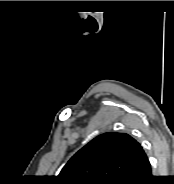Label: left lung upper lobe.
Wrapping results in <instances>:
<instances>
[{"label": "left lung upper lobe", "instance_id": "5c2ea615", "mask_svg": "<svg viewBox=\"0 0 174 184\" xmlns=\"http://www.w3.org/2000/svg\"><path fill=\"white\" fill-rule=\"evenodd\" d=\"M141 146L126 133L101 134L63 167L65 184H126Z\"/></svg>", "mask_w": 174, "mask_h": 184}]
</instances>
